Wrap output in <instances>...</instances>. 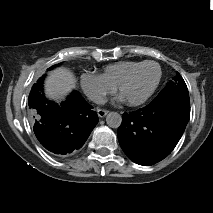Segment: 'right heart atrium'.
<instances>
[{
    "label": "right heart atrium",
    "instance_id": "1",
    "mask_svg": "<svg viewBox=\"0 0 213 213\" xmlns=\"http://www.w3.org/2000/svg\"><path fill=\"white\" fill-rule=\"evenodd\" d=\"M80 83L89 99L98 104L103 103L115 90L101 75L89 71L81 75Z\"/></svg>",
    "mask_w": 213,
    "mask_h": 213
}]
</instances>
